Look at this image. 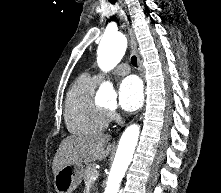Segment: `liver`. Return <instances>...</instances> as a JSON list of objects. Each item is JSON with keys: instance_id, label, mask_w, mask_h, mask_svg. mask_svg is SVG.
<instances>
[{"instance_id": "6515ba94", "label": "liver", "mask_w": 221, "mask_h": 193, "mask_svg": "<svg viewBox=\"0 0 221 193\" xmlns=\"http://www.w3.org/2000/svg\"><path fill=\"white\" fill-rule=\"evenodd\" d=\"M109 141L110 136L102 133L68 136L61 142L54 156L53 174L67 165L105 159L111 151Z\"/></svg>"}]
</instances>
